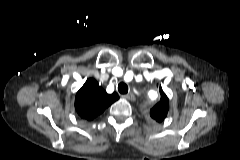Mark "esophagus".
Masks as SVG:
<instances>
[{
  "label": "esophagus",
  "instance_id": "1",
  "mask_svg": "<svg viewBox=\"0 0 240 160\" xmlns=\"http://www.w3.org/2000/svg\"><path fill=\"white\" fill-rule=\"evenodd\" d=\"M124 97L129 101H134L135 100V95L133 93H128Z\"/></svg>",
  "mask_w": 240,
  "mask_h": 160
}]
</instances>
